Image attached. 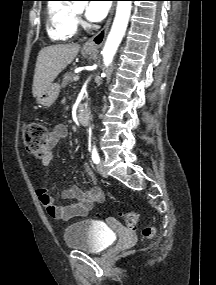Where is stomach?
<instances>
[{
    "label": "stomach",
    "mask_w": 216,
    "mask_h": 285,
    "mask_svg": "<svg viewBox=\"0 0 216 285\" xmlns=\"http://www.w3.org/2000/svg\"><path fill=\"white\" fill-rule=\"evenodd\" d=\"M95 51L96 50H83V53L86 55H92ZM59 92L60 85L58 83H52L36 97V100L39 104L49 107L56 101Z\"/></svg>",
    "instance_id": "obj_1"
}]
</instances>
